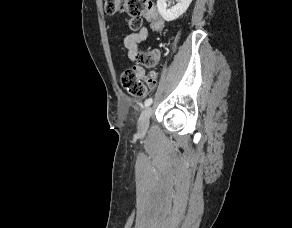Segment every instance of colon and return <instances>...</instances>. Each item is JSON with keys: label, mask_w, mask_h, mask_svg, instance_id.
<instances>
[{"label": "colon", "mask_w": 292, "mask_h": 228, "mask_svg": "<svg viewBox=\"0 0 292 228\" xmlns=\"http://www.w3.org/2000/svg\"><path fill=\"white\" fill-rule=\"evenodd\" d=\"M105 10L108 14L126 13L129 16V27L132 30L140 28L142 18H151V27L161 29L163 20L154 13V7L150 0H105ZM139 64L146 67H154L158 61L155 51L135 54ZM154 73L145 77L141 75L136 67L126 69L121 75L122 86L134 97H143L147 92V86L153 82Z\"/></svg>", "instance_id": "5ec220e1"}]
</instances>
